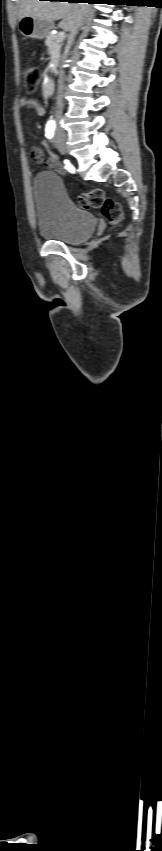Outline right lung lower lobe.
Wrapping results in <instances>:
<instances>
[{
	"label": "right lung lower lobe",
	"mask_w": 162,
	"mask_h": 851,
	"mask_svg": "<svg viewBox=\"0 0 162 851\" xmlns=\"http://www.w3.org/2000/svg\"><path fill=\"white\" fill-rule=\"evenodd\" d=\"M50 1H62V0H50ZM67 1L68 2H78V3L87 2L89 4L103 3V2H107L108 4H110V2H113V0H67Z\"/></svg>",
	"instance_id": "1"
}]
</instances>
